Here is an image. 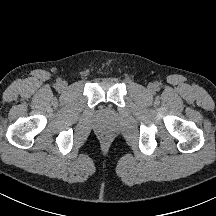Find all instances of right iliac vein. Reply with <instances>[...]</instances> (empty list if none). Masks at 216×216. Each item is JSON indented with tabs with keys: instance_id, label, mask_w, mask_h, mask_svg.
I'll use <instances>...</instances> for the list:
<instances>
[{
	"instance_id": "1",
	"label": "right iliac vein",
	"mask_w": 216,
	"mask_h": 216,
	"mask_svg": "<svg viewBox=\"0 0 216 216\" xmlns=\"http://www.w3.org/2000/svg\"><path fill=\"white\" fill-rule=\"evenodd\" d=\"M67 86L66 82L59 83V88L64 89Z\"/></svg>"
}]
</instances>
